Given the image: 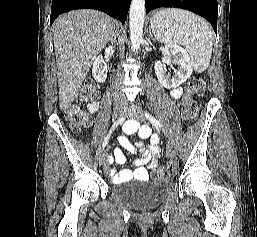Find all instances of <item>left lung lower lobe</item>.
Wrapping results in <instances>:
<instances>
[{"label": "left lung lower lobe", "mask_w": 257, "mask_h": 237, "mask_svg": "<svg viewBox=\"0 0 257 237\" xmlns=\"http://www.w3.org/2000/svg\"><path fill=\"white\" fill-rule=\"evenodd\" d=\"M146 13L160 7L186 9L206 18L217 33V0H145Z\"/></svg>", "instance_id": "1"}]
</instances>
